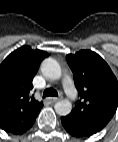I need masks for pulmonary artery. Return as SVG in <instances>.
Masks as SVG:
<instances>
[{
    "label": "pulmonary artery",
    "instance_id": "pulmonary-artery-1",
    "mask_svg": "<svg viewBox=\"0 0 118 142\" xmlns=\"http://www.w3.org/2000/svg\"><path fill=\"white\" fill-rule=\"evenodd\" d=\"M63 85H64V88H65L67 95L70 98L75 99L76 93H75V90L73 88L72 80L70 79V77L67 76V77L64 78Z\"/></svg>",
    "mask_w": 118,
    "mask_h": 142
}]
</instances>
